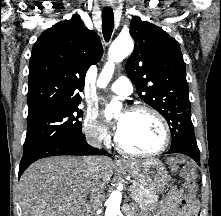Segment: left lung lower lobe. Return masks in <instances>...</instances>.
Segmentation results:
<instances>
[{"label": "left lung lower lobe", "instance_id": "0a47b994", "mask_svg": "<svg viewBox=\"0 0 221 216\" xmlns=\"http://www.w3.org/2000/svg\"><path fill=\"white\" fill-rule=\"evenodd\" d=\"M171 153H181V154H185L189 157H191L192 159H194L198 165H200V153L198 152H191V151H187L184 149H170L167 154H171Z\"/></svg>", "mask_w": 221, "mask_h": 216}]
</instances>
